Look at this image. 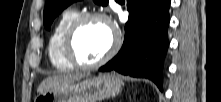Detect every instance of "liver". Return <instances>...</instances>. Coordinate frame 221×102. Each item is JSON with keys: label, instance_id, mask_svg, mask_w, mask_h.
<instances>
[{"label": "liver", "instance_id": "6515ba94", "mask_svg": "<svg viewBox=\"0 0 221 102\" xmlns=\"http://www.w3.org/2000/svg\"><path fill=\"white\" fill-rule=\"evenodd\" d=\"M84 77L82 74H67V75H56L45 79L38 87L39 93L50 88L59 87L68 83L75 82Z\"/></svg>", "mask_w": 221, "mask_h": 102}]
</instances>
